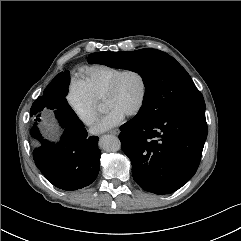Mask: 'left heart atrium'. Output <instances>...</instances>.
<instances>
[{"label": "left heart atrium", "mask_w": 241, "mask_h": 241, "mask_svg": "<svg viewBox=\"0 0 241 241\" xmlns=\"http://www.w3.org/2000/svg\"><path fill=\"white\" fill-rule=\"evenodd\" d=\"M126 114L117 108H109L106 114L98 122V124L93 128V133H102L111 128L119 125L125 118Z\"/></svg>", "instance_id": "1"}]
</instances>
